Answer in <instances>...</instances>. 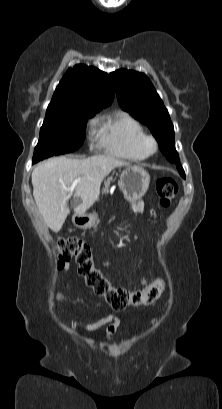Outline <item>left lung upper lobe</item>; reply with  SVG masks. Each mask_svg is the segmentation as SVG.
<instances>
[{
  "instance_id": "1",
  "label": "left lung upper lobe",
  "mask_w": 222,
  "mask_h": 409,
  "mask_svg": "<svg viewBox=\"0 0 222 409\" xmlns=\"http://www.w3.org/2000/svg\"><path fill=\"white\" fill-rule=\"evenodd\" d=\"M119 104L137 120L147 125L159 143L166 158L176 164L185 178L184 170L175 150L174 128L169 113L155 91L151 81L143 73L120 69L110 73Z\"/></svg>"
}]
</instances>
